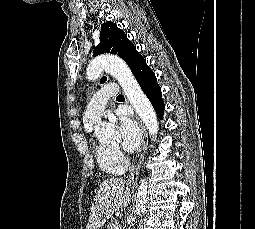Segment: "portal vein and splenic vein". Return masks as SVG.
<instances>
[{"label":"portal vein and splenic vein","mask_w":255,"mask_h":229,"mask_svg":"<svg viewBox=\"0 0 255 229\" xmlns=\"http://www.w3.org/2000/svg\"><path fill=\"white\" fill-rule=\"evenodd\" d=\"M115 229H118V226H115Z\"/></svg>","instance_id":"portal-vein-and-splenic-vein-1"}]
</instances>
